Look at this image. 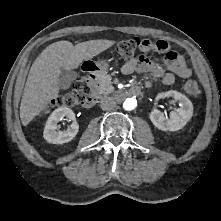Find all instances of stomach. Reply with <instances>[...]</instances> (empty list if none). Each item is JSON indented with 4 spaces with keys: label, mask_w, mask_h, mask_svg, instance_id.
I'll return each mask as SVG.
<instances>
[{
    "label": "stomach",
    "mask_w": 221,
    "mask_h": 221,
    "mask_svg": "<svg viewBox=\"0 0 221 221\" xmlns=\"http://www.w3.org/2000/svg\"><path fill=\"white\" fill-rule=\"evenodd\" d=\"M97 66L100 70H105L106 69V63L101 61L97 63Z\"/></svg>",
    "instance_id": "obj_1"
}]
</instances>
